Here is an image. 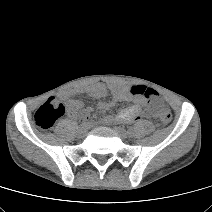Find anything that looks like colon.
<instances>
[{
  "instance_id": "colon-1",
  "label": "colon",
  "mask_w": 212,
  "mask_h": 212,
  "mask_svg": "<svg viewBox=\"0 0 212 212\" xmlns=\"http://www.w3.org/2000/svg\"><path fill=\"white\" fill-rule=\"evenodd\" d=\"M132 95H139L146 98L153 106L160 105L159 94L145 86H133L130 88ZM65 113V106L60 103L56 98H49L44 104H42L34 114V122L37 127L42 130H48L53 127L58 119H60ZM161 120L163 123L168 124L172 121V114L164 110L161 114Z\"/></svg>"
}]
</instances>
